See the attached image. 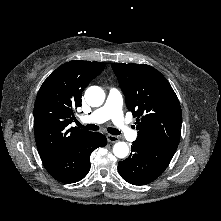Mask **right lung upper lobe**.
I'll list each match as a JSON object with an SVG mask.
<instances>
[{
    "mask_svg": "<svg viewBox=\"0 0 221 221\" xmlns=\"http://www.w3.org/2000/svg\"><path fill=\"white\" fill-rule=\"evenodd\" d=\"M105 64L73 60L58 67L42 84L34 105V131L43 164L62 155L91 132L69 127L74 109L81 106L83 89Z\"/></svg>",
    "mask_w": 221,
    "mask_h": 221,
    "instance_id": "cb5924a9",
    "label": "right lung upper lobe"
}]
</instances>
